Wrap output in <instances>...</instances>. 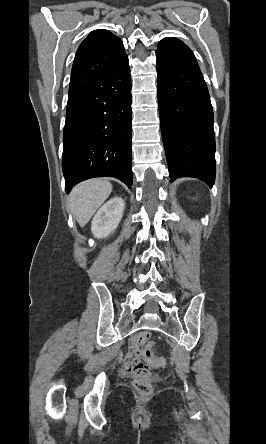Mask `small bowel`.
<instances>
[{
    "mask_svg": "<svg viewBox=\"0 0 266 444\" xmlns=\"http://www.w3.org/2000/svg\"><path fill=\"white\" fill-rule=\"evenodd\" d=\"M147 334L136 338L131 350L125 356L122 364V374L127 377L147 379L150 376L149 365L141 362L139 345L145 340Z\"/></svg>",
    "mask_w": 266,
    "mask_h": 444,
    "instance_id": "c3829d8e",
    "label": "small bowel"
}]
</instances>
